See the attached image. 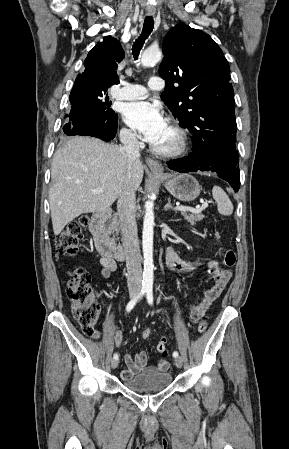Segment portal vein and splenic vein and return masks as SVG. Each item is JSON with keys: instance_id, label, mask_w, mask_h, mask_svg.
<instances>
[{"instance_id": "obj_1", "label": "portal vein and splenic vein", "mask_w": 289, "mask_h": 449, "mask_svg": "<svg viewBox=\"0 0 289 449\" xmlns=\"http://www.w3.org/2000/svg\"><path fill=\"white\" fill-rule=\"evenodd\" d=\"M101 192H103V190L100 188L92 190L93 194H99ZM207 207H208V203L204 202L201 207L191 208V207H187V206H177L175 209L178 211H189L192 213H200L202 210H204Z\"/></svg>"}]
</instances>
